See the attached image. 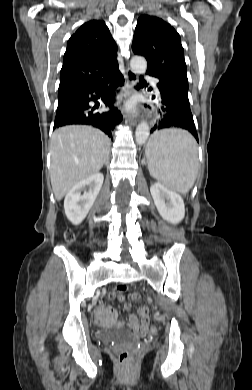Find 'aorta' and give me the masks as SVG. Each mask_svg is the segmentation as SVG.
I'll list each match as a JSON object with an SVG mask.
<instances>
[{
    "label": "aorta",
    "instance_id": "1",
    "mask_svg": "<svg viewBox=\"0 0 252 390\" xmlns=\"http://www.w3.org/2000/svg\"><path fill=\"white\" fill-rule=\"evenodd\" d=\"M130 67L134 73L143 74L147 69V62L144 57L134 56L130 61ZM150 128L147 122H141L135 132V139L137 144H144L148 139Z\"/></svg>",
    "mask_w": 252,
    "mask_h": 390
}]
</instances>
